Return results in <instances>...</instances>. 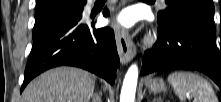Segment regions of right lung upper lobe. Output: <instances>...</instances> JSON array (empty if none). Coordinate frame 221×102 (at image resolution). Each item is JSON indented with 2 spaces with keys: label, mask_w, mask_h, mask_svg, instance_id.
<instances>
[{
  "label": "right lung upper lobe",
  "mask_w": 221,
  "mask_h": 102,
  "mask_svg": "<svg viewBox=\"0 0 221 102\" xmlns=\"http://www.w3.org/2000/svg\"><path fill=\"white\" fill-rule=\"evenodd\" d=\"M48 1H50V0H37V6H36V8H39V7H42V6H44L46 3H48ZM82 1H86V0H82Z\"/></svg>",
  "instance_id": "cb5924a9"
}]
</instances>
